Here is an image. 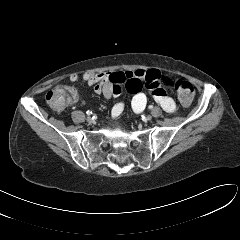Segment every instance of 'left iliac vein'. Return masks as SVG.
<instances>
[{
    "instance_id": "1",
    "label": "left iliac vein",
    "mask_w": 240,
    "mask_h": 240,
    "mask_svg": "<svg viewBox=\"0 0 240 240\" xmlns=\"http://www.w3.org/2000/svg\"><path fill=\"white\" fill-rule=\"evenodd\" d=\"M145 119H146L147 121H150V120L152 119V116H151V115H147V116L145 117Z\"/></svg>"
}]
</instances>
